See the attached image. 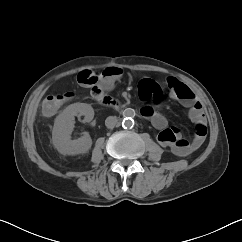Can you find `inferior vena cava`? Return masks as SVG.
Listing matches in <instances>:
<instances>
[{"label":"inferior vena cava","instance_id":"inferior-vena-cava-1","mask_svg":"<svg viewBox=\"0 0 242 242\" xmlns=\"http://www.w3.org/2000/svg\"><path fill=\"white\" fill-rule=\"evenodd\" d=\"M118 123V119L116 116H109L105 120V125L107 128H114Z\"/></svg>","mask_w":242,"mask_h":242}]
</instances>
